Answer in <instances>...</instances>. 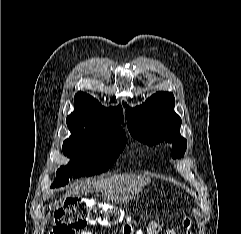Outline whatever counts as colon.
<instances>
[{"mask_svg": "<svg viewBox=\"0 0 241 234\" xmlns=\"http://www.w3.org/2000/svg\"><path fill=\"white\" fill-rule=\"evenodd\" d=\"M121 219V213L116 207L94 199L70 197L56 211L50 234H76L83 227L92 224L111 227ZM183 227L186 234H192L189 218L183 220Z\"/></svg>", "mask_w": 241, "mask_h": 234, "instance_id": "1", "label": "colon"}]
</instances>
